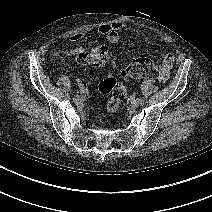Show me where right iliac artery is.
Returning a JSON list of instances; mask_svg holds the SVG:
<instances>
[{
  "label": "right iliac artery",
  "mask_w": 212,
  "mask_h": 212,
  "mask_svg": "<svg viewBox=\"0 0 212 212\" xmlns=\"http://www.w3.org/2000/svg\"><path fill=\"white\" fill-rule=\"evenodd\" d=\"M65 98H66V99H70V94L66 93V94H65Z\"/></svg>",
  "instance_id": "82829eb1"
}]
</instances>
